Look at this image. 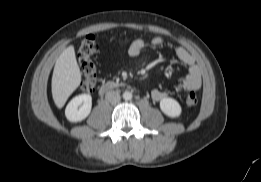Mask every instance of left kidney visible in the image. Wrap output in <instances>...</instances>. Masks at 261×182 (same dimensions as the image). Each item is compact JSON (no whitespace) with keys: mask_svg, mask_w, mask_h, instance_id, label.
<instances>
[{"mask_svg":"<svg viewBox=\"0 0 261 182\" xmlns=\"http://www.w3.org/2000/svg\"><path fill=\"white\" fill-rule=\"evenodd\" d=\"M160 109L165 115L171 118L179 117L182 112L180 104L172 98L161 99Z\"/></svg>","mask_w":261,"mask_h":182,"instance_id":"5707ae66","label":"left kidney"}]
</instances>
